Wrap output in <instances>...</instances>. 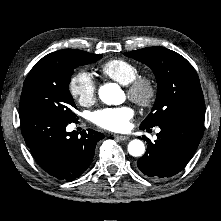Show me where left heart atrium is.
<instances>
[{
    "instance_id": "39dd6f15",
    "label": "left heart atrium",
    "mask_w": 221,
    "mask_h": 221,
    "mask_svg": "<svg viewBox=\"0 0 221 221\" xmlns=\"http://www.w3.org/2000/svg\"><path fill=\"white\" fill-rule=\"evenodd\" d=\"M133 115V110L128 106L105 108L93 114V121L106 130L123 132L129 128Z\"/></svg>"
}]
</instances>
